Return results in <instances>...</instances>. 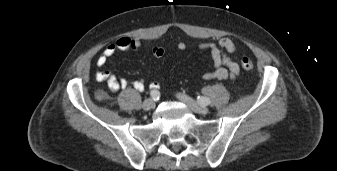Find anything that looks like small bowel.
<instances>
[{
  "label": "small bowel",
  "mask_w": 337,
  "mask_h": 171,
  "mask_svg": "<svg viewBox=\"0 0 337 171\" xmlns=\"http://www.w3.org/2000/svg\"><path fill=\"white\" fill-rule=\"evenodd\" d=\"M140 47L141 41L137 38L125 36L119 37L114 43H110L104 48L102 53L96 59V65L98 67H103L118 51H136ZM177 48L183 51L186 49V44L184 42H179ZM198 48L203 51H209L213 62V69L203 73L202 79H233L239 75L240 65L238 60L229 56V54H234L237 51V44L231 38H221L217 43H200ZM152 52L157 58L162 57L164 54L163 48L159 46L154 47ZM95 79L98 82H106L108 88L112 92H117L120 89H126L128 87H132L137 91L144 90V84L141 81L118 79L113 73L107 70L98 71L95 74ZM150 87L153 90H157L159 89L160 84L157 81H153L151 82Z\"/></svg>",
  "instance_id": "small-bowel-1"
}]
</instances>
